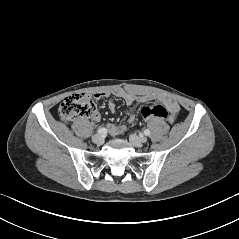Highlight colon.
<instances>
[{
    "label": "colon",
    "mask_w": 239,
    "mask_h": 239,
    "mask_svg": "<svg viewBox=\"0 0 239 239\" xmlns=\"http://www.w3.org/2000/svg\"><path fill=\"white\" fill-rule=\"evenodd\" d=\"M96 107L90 97L86 94L76 93L66 97L59 106V115L62 120L68 122L79 116H92ZM141 113L144 118H168V110L159 104L145 105Z\"/></svg>",
    "instance_id": "obj_1"
}]
</instances>
